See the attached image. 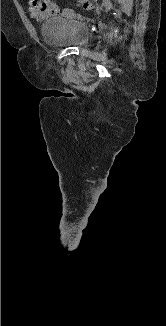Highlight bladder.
<instances>
[{
    "instance_id": "obj_1",
    "label": "bladder",
    "mask_w": 166,
    "mask_h": 326,
    "mask_svg": "<svg viewBox=\"0 0 166 326\" xmlns=\"http://www.w3.org/2000/svg\"><path fill=\"white\" fill-rule=\"evenodd\" d=\"M44 41L55 47H84L89 41V29L78 18L53 16L41 24Z\"/></svg>"
}]
</instances>
